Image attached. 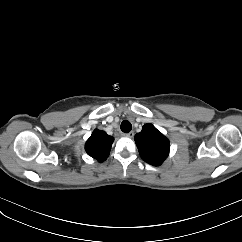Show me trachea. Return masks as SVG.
Here are the masks:
<instances>
[{
  "instance_id": "obj_1",
  "label": "trachea",
  "mask_w": 242,
  "mask_h": 242,
  "mask_svg": "<svg viewBox=\"0 0 242 242\" xmlns=\"http://www.w3.org/2000/svg\"><path fill=\"white\" fill-rule=\"evenodd\" d=\"M132 129V125L129 121L127 120H124L122 123H121V130L124 132V133H129Z\"/></svg>"
}]
</instances>
